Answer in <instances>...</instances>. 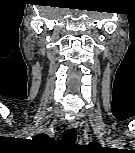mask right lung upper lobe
I'll list each match as a JSON object with an SVG mask.
<instances>
[{"instance_id":"obj_1","label":"right lung upper lobe","mask_w":135,"mask_h":153,"mask_svg":"<svg viewBox=\"0 0 135 153\" xmlns=\"http://www.w3.org/2000/svg\"><path fill=\"white\" fill-rule=\"evenodd\" d=\"M34 139L40 140V141H54L53 138H50L49 136H47L45 134L37 135Z\"/></svg>"}]
</instances>
